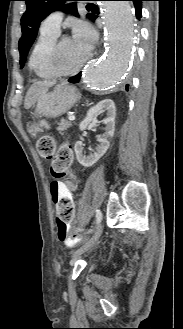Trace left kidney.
<instances>
[{
  "label": "left kidney",
  "instance_id": "obj_1",
  "mask_svg": "<svg viewBox=\"0 0 183 329\" xmlns=\"http://www.w3.org/2000/svg\"><path fill=\"white\" fill-rule=\"evenodd\" d=\"M101 111H107V117L103 120V123L106 125V128L105 132L102 135L97 136V141L99 142V145L96 147L94 153L85 155V153L83 152L82 138L80 141H77L74 146L76 158L78 162L84 167H91L105 154V152L109 148L110 139L114 135L116 108L114 102L111 99L102 100L95 106L91 107L88 110L86 117L79 125L80 130H85L90 122H94L96 116Z\"/></svg>",
  "mask_w": 183,
  "mask_h": 329
}]
</instances>
